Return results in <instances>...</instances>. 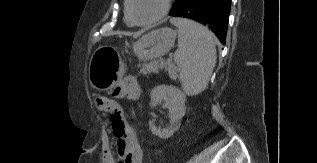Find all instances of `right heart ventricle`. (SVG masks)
Instances as JSON below:
<instances>
[{
  "instance_id": "obj_1",
  "label": "right heart ventricle",
  "mask_w": 317,
  "mask_h": 163,
  "mask_svg": "<svg viewBox=\"0 0 317 163\" xmlns=\"http://www.w3.org/2000/svg\"><path fill=\"white\" fill-rule=\"evenodd\" d=\"M124 21H125V23H126L127 25H129V26L133 25V24L131 23V21H130L129 17H128L126 7H125V16H124Z\"/></svg>"
}]
</instances>
